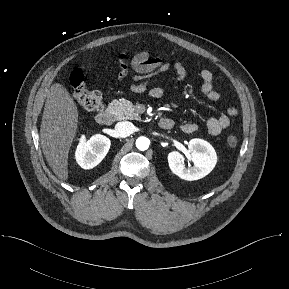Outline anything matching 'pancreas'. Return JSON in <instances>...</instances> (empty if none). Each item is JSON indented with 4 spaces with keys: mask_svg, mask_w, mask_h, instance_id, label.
<instances>
[{
    "mask_svg": "<svg viewBox=\"0 0 289 289\" xmlns=\"http://www.w3.org/2000/svg\"><path fill=\"white\" fill-rule=\"evenodd\" d=\"M108 110L117 120H133L140 118L135 106L126 99L113 100L109 104Z\"/></svg>",
    "mask_w": 289,
    "mask_h": 289,
    "instance_id": "cf45deb5",
    "label": "pancreas"
}]
</instances>
